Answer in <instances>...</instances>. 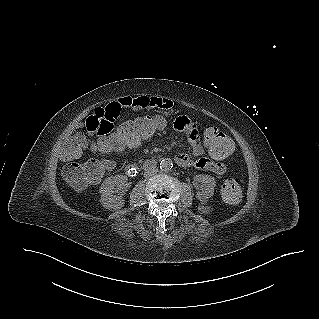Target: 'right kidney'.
Here are the masks:
<instances>
[{"label": "right kidney", "instance_id": "right-kidney-1", "mask_svg": "<svg viewBox=\"0 0 319 319\" xmlns=\"http://www.w3.org/2000/svg\"><path fill=\"white\" fill-rule=\"evenodd\" d=\"M126 181L127 177L125 175H115L103 181L100 187V203L104 208L119 210L124 206L125 200L122 197L124 191L121 189H123ZM116 186L119 187L117 190H115Z\"/></svg>", "mask_w": 319, "mask_h": 319}]
</instances>
